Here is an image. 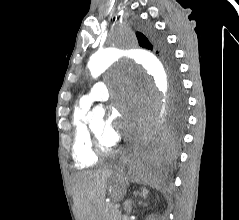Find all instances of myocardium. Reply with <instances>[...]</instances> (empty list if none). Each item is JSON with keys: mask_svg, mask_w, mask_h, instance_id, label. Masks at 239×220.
Here are the masks:
<instances>
[{"mask_svg": "<svg viewBox=\"0 0 239 220\" xmlns=\"http://www.w3.org/2000/svg\"><path fill=\"white\" fill-rule=\"evenodd\" d=\"M89 134L91 138L92 149L97 156H108L115 152V147H106L102 144L99 137L93 131L91 125L89 126Z\"/></svg>", "mask_w": 239, "mask_h": 220, "instance_id": "f54148a6", "label": "myocardium"}]
</instances>
